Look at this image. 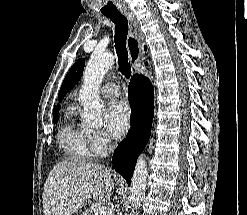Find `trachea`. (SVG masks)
I'll list each match as a JSON object with an SVG mask.
<instances>
[{"instance_id": "3493384b", "label": "trachea", "mask_w": 247, "mask_h": 215, "mask_svg": "<svg viewBox=\"0 0 247 215\" xmlns=\"http://www.w3.org/2000/svg\"><path fill=\"white\" fill-rule=\"evenodd\" d=\"M115 24V49L118 57L119 71L125 79L131 76V67L128 62V51L126 49V39L128 34V20L119 11L104 14Z\"/></svg>"}]
</instances>
